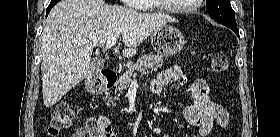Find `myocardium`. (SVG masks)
Instances as JSON below:
<instances>
[{
	"label": "myocardium",
	"mask_w": 280,
	"mask_h": 137,
	"mask_svg": "<svg viewBox=\"0 0 280 137\" xmlns=\"http://www.w3.org/2000/svg\"><path fill=\"white\" fill-rule=\"evenodd\" d=\"M158 3V7L165 12L176 14V15H183L191 13L195 10H197L201 5V0H194L193 4L184 6V7H178V8H172L165 4H162V0H155Z\"/></svg>",
	"instance_id": "1"
}]
</instances>
